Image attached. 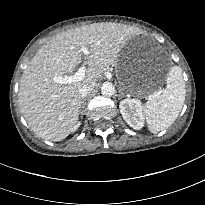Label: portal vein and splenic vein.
<instances>
[{
    "label": "portal vein and splenic vein",
    "mask_w": 205,
    "mask_h": 205,
    "mask_svg": "<svg viewBox=\"0 0 205 205\" xmlns=\"http://www.w3.org/2000/svg\"><path fill=\"white\" fill-rule=\"evenodd\" d=\"M80 51L84 55L89 54V50H88L87 47H82L80 49ZM85 72H86V67L84 65H82L74 75L65 76V77H61V76L60 77H54L53 81L55 83H60V84H71V83H74V82L81 81L85 77Z\"/></svg>",
    "instance_id": "portal-vein-and-splenic-vein-1"
}]
</instances>
